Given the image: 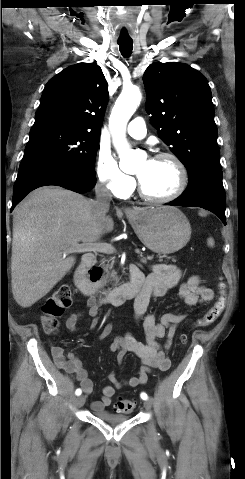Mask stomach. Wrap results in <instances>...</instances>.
I'll list each match as a JSON object with an SVG mask.
<instances>
[{"mask_svg": "<svg viewBox=\"0 0 245 479\" xmlns=\"http://www.w3.org/2000/svg\"><path fill=\"white\" fill-rule=\"evenodd\" d=\"M127 217L141 242L153 252L174 253L190 240V223L175 207L137 208Z\"/></svg>", "mask_w": 245, "mask_h": 479, "instance_id": "1", "label": "stomach"}]
</instances>
